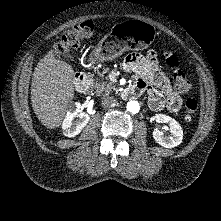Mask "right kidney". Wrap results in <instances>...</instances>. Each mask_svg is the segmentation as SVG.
<instances>
[{
	"label": "right kidney",
	"mask_w": 221,
	"mask_h": 221,
	"mask_svg": "<svg viewBox=\"0 0 221 221\" xmlns=\"http://www.w3.org/2000/svg\"><path fill=\"white\" fill-rule=\"evenodd\" d=\"M90 116L80 111V103L69 105V110L62 123L63 134L67 137H75L89 122Z\"/></svg>",
	"instance_id": "1"
}]
</instances>
